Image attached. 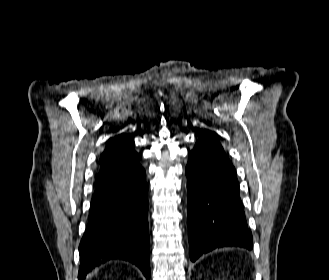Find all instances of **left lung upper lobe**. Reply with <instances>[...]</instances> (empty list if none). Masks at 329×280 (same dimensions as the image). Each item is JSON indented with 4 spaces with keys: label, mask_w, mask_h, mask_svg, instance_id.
Segmentation results:
<instances>
[{
    "label": "left lung upper lobe",
    "mask_w": 329,
    "mask_h": 280,
    "mask_svg": "<svg viewBox=\"0 0 329 280\" xmlns=\"http://www.w3.org/2000/svg\"><path fill=\"white\" fill-rule=\"evenodd\" d=\"M219 151L223 152V148L216 134L209 130H203L194 149L189 153L188 162L203 169L210 170L214 166L215 153Z\"/></svg>",
    "instance_id": "1"
}]
</instances>
